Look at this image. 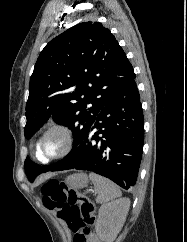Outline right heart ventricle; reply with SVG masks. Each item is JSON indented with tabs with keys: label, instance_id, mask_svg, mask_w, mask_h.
I'll use <instances>...</instances> for the list:
<instances>
[{
	"label": "right heart ventricle",
	"instance_id": "obj_1",
	"mask_svg": "<svg viewBox=\"0 0 187 242\" xmlns=\"http://www.w3.org/2000/svg\"><path fill=\"white\" fill-rule=\"evenodd\" d=\"M36 155H37V158H38L39 160L43 161V159L38 155L37 150H36ZM44 162H45V161H44Z\"/></svg>",
	"mask_w": 187,
	"mask_h": 242
}]
</instances>
